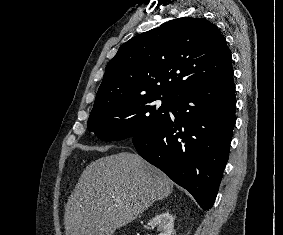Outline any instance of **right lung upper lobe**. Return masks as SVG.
Returning a JSON list of instances; mask_svg holds the SVG:
<instances>
[{
	"label": "right lung upper lobe",
	"instance_id": "right-lung-upper-lobe-1",
	"mask_svg": "<svg viewBox=\"0 0 283 235\" xmlns=\"http://www.w3.org/2000/svg\"><path fill=\"white\" fill-rule=\"evenodd\" d=\"M233 73L216 25L182 17L122 44L106 66L94 106L143 96L174 98Z\"/></svg>",
	"mask_w": 283,
	"mask_h": 235
}]
</instances>
